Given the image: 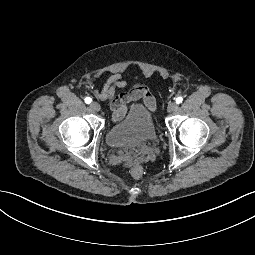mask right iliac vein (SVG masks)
Instances as JSON below:
<instances>
[{
    "label": "right iliac vein",
    "mask_w": 255,
    "mask_h": 255,
    "mask_svg": "<svg viewBox=\"0 0 255 255\" xmlns=\"http://www.w3.org/2000/svg\"><path fill=\"white\" fill-rule=\"evenodd\" d=\"M91 110L98 112L100 110V105L97 102L90 103Z\"/></svg>",
    "instance_id": "right-iliac-vein-1"
}]
</instances>
